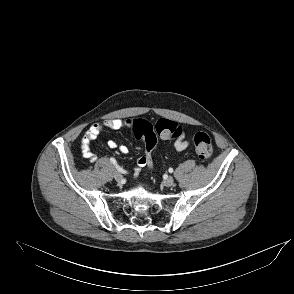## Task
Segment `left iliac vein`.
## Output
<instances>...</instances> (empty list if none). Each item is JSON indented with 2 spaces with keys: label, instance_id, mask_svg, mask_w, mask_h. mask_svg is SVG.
Masks as SVG:
<instances>
[{
  "label": "left iliac vein",
  "instance_id": "left-iliac-vein-1",
  "mask_svg": "<svg viewBox=\"0 0 294 294\" xmlns=\"http://www.w3.org/2000/svg\"><path fill=\"white\" fill-rule=\"evenodd\" d=\"M163 184L166 186V187H170L174 184V179L172 177H168L166 178L164 181H163Z\"/></svg>",
  "mask_w": 294,
  "mask_h": 294
}]
</instances>
